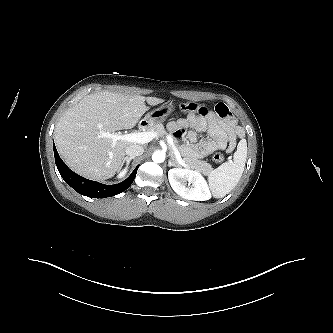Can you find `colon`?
Wrapping results in <instances>:
<instances>
[{
  "mask_svg": "<svg viewBox=\"0 0 333 333\" xmlns=\"http://www.w3.org/2000/svg\"><path fill=\"white\" fill-rule=\"evenodd\" d=\"M204 107L197 103V102H193V101H187V102H183L180 104V109L184 112H199L203 109ZM213 160L216 163H220L224 160V155L221 152H216L213 156Z\"/></svg>",
  "mask_w": 333,
  "mask_h": 333,
  "instance_id": "1",
  "label": "colon"
}]
</instances>
